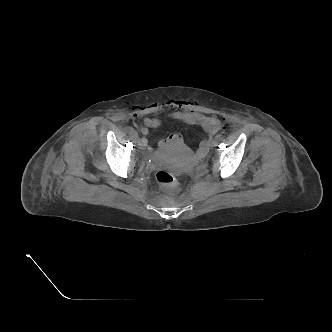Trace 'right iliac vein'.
<instances>
[{
    "instance_id": "63e3f726",
    "label": "right iliac vein",
    "mask_w": 332,
    "mask_h": 332,
    "mask_svg": "<svg viewBox=\"0 0 332 332\" xmlns=\"http://www.w3.org/2000/svg\"><path fill=\"white\" fill-rule=\"evenodd\" d=\"M131 134H132V136H133V137H135V138H137V137H138V134H137V132H136V131H132V132H131Z\"/></svg>"
}]
</instances>
